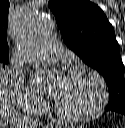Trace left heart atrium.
Returning <instances> with one entry per match:
<instances>
[{"label":"left heart atrium","instance_id":"39dd6f15","mask_svg":"<svg viewBox=\"0 0 125 128\" xmlns=\"http://www.w3.org/2000/svg\"><path fill=\"white\" fill-rule=\"evenodd\" d=\"M64 81V76L62 74H55L53 76L52 82H51V86L49 88V90L47 91V93L53 97L56 98ZM34 85L39 88V83L37 80L33 81Z\"/></svg>","mask_w":125,"mask_h":128}]
</instances>
